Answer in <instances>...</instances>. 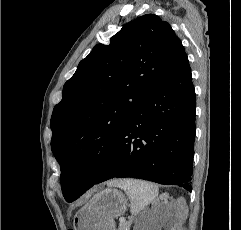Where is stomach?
<instances>
[{"label":"stomach","instance_id":"obj_1","mask_svg":"<svg viewBox=\"0 0 241 230\" xmlns=\"http://www.w3.org/2000/svg\"><path fill=\"white\" fill-rule=\"evenodd\" d=\"M127 205L121 191L104 189L76 213L73 230H115V219L125 213Z\"/></svg>","mask_w":241,"mask_h":230}]
</instances>
